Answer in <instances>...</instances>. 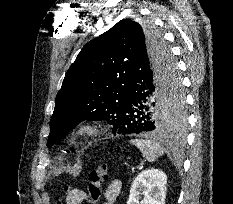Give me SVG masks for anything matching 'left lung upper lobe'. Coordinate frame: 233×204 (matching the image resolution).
<instances>
[{
    "label": "left lung upper lobe",
    "mask_w": 233,
    "mask_h": 204,
    "mask_svg": "<svg viewBox=\"0 0 233 204\" xmlns=\"http://www.w3.org/2000/svg\"><path fill=\"white\" fill-rule=\"evenodd\" d=\"M163 54L162 70L170 77L175 66L168 46L153 27L123 19L89 41L68 69L55 99L47 146L50 147L83 120H106L119 132V110L127 93L131 69L140 49ZM184 94L179 80L160 103L161 131L185 124Z\"/></svg>",
    "instance_id": "1"
}]
</instances>
